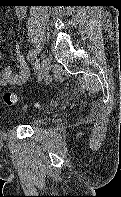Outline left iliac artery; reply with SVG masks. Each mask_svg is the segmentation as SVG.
I'll return each instance as SVG.
<instances>
[{
  "mask_svg": "<svg viewBox=\"0 0 121 197\" xmlns=\"http://www.w3.org/2000/svg\"><path fill=\"white\" fill-rule=\"evenodd\" d=\"M37 57V52L35 50H32L28 53L27 55V59L28 60H32L35 59Z\"/></svg>",
  "mask_w": 121,
  "mask_h": 197,
  "instance_id": "1",
  "label": "left iliac artery"
}]
</instances>
